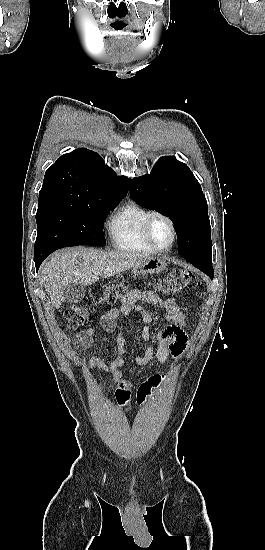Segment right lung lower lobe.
I'll return each instance as SVG.
<instances>
[{
	"label": "right lung lower lobe",
	"instance_id": "obj_1",
	"mask_svg": "<svg viewBox=\"0 0 265 550\" xmlns=\"http://www.w3.org/2000/svg\"><path fill=\"white\" fill-rule=\"evenodd\" d=\"M48 256V254H40V255H35V265H36V270L38 271L41 263L44 261V259Z\"/></svg>",
	"mask_w": 265,
	"mask_h": 550
}]
</instances>
